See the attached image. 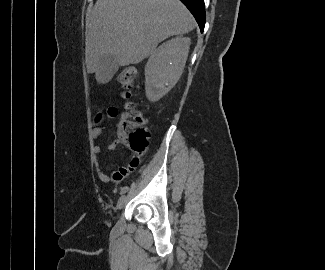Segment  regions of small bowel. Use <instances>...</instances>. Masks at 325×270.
Returning <instances> with one entry per match:
<instances>
[{"label": "small bowel", "instance_id": "1", "mask_svg": "<svg viewBox=\"0 0 325 270\" xmlns=\"http://www.w3.org/2000/svg\"><path fill=\"white\" fill-rule=\"evenodd\" d=\"M119 115V110L115 106H111L106 110V118L108 119H115ZM103 133V129L100 126H94L91 131V137L94 141H97L101 138ZM118 144V141H113L108 145L109 150H113ZM93 154L96 158L95 160V166L97 170V174L99 179L104 183L109 182H118L120 179H122L125 175H127L130 171H132L134 168L126 167H120L112 172V175L110 176L108 173H106L103 168L101 167L98 157L102 154V147L99 145L93 146Z\"/></svg>", "mask_w": 325, "mask_h": 270}]
</instances>
